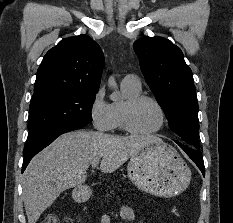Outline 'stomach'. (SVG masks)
Instances as JSON below:
<instances>
[{
	"label": "stomach",
	"instance_id": "obj_1",
	"mask_svg": "<svg viewBox=\"0 0 233 223\" xmlns=\"http://www.w3.org/2000/svg\"><path fill=\"white\" fill-rule=\"evenodd\" d=\"M127 173L132 183L151 195L173 197L179 195L191 181V171L174 147L164 141H152L131 155ZM75 189V197H84Z\"/></svg>",
	"mask_w": 233,
	"mask_h": 223
}]
</instances>
